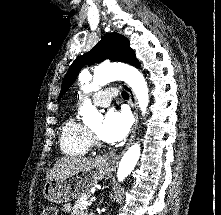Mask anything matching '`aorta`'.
I'll return each mask as SVG.
<instances>
[{
	"mask_svg": "<svg viewBox=\"0 0 221 215\" xmlns=\"http://www.w3.org/2000/svg\"><path fill=\"white\" fill-rule=\"evenodd\" d=\"M115 80L126 82L133 90L142 114L146 113L149 103L148 87L144 76L136 68L122 63L101 64L94 69L91 82L83 81L81 90L89 93ZM79 115L85 124L91 125L100 116L90 99H85L80 106ZM141 154L138 143L133 144L123 155L117 170L118 181H123L136 166Z\"/></svg>",
	"mask_w": 221,
	"mask_h": 215,
	"instance_id": "1",
	"label": "aorta"
}]
</instances>
